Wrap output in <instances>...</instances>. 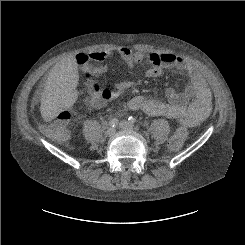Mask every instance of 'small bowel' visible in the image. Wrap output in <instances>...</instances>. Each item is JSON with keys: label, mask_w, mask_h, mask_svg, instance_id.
<instances>
[{"label": "small bowel", "mask_w": 245, "mask_h": 245, "mask_svg": "<svg viewBox=\"0 0 245 245\" xmlns=\"http://www.w3.org/2000/svg\"><path fill=\"white\" fill-rule=\"evenodd\" d=\"M93 61L104 66L95 71L101 72L108 67V59L119 57L129 68L145 61L148 63L144 78L152 79L163 75L166 71H178L190 80L183 92L168 89L165 93L168 103L154 100L147 96H135L129 103L131 110L142 111L148 115H164L176 122L195 125L202 122L210 113L211 93L202 75L183 58L168 53L133 51L128 47H120L111 51L96 50L90 53ZM74 66H63L64 72L70 73ZM142 79H129L116 83L109 94L96 92L89 86L90 102L86 109L104 107L108 101L120 97L126 91L139 86ZM192 99V102L189 100Z\"/></svg>", "instance_id": "c3829d8e"}]
</instances>
